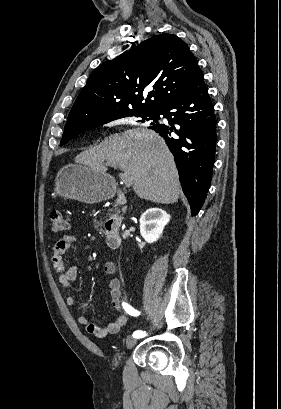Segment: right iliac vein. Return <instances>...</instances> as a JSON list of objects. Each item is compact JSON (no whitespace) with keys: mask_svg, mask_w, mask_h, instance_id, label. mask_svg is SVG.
<instances>
[{"mask_svg":"<svg viewBox=\"0 0 281 409\" xmlns=\"http://www.w3.org/2000/svg\"><path fill=\"white\" fill-rule=\"evenodd\" d=\"M137 343V340L132 338V337H128L126 340V347L127 349H132Z\"/></svg>","mask_w":281,"mask_h":409,"instance_id":"obj_1","label":"right iliac vein"}]
</instances>
